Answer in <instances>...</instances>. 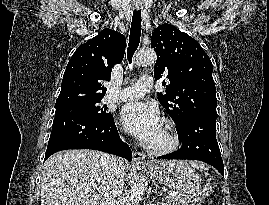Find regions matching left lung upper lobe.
Returning <instances> with one entry per match:
<instances>
[{"label": "left lung upper lobe", "instance_id": "left-lung-upper-lobe-1", "mask_svg": "<svg viewBox=\"0 0 269 205\" xmlns=\"http://www.w3.org/2000/svg\"><path fill=\"white\" fill-rule=\"evenodd\" d=\"M157 53L154 77L165 80L166 94L158 93L160 104L168 111L180 131L191 119L216 116V87L213 66L200 44L170 24L160 25L151 36Z\"/></svg>", "mask_w": 269, "mask_h": 205}]
</instances>
